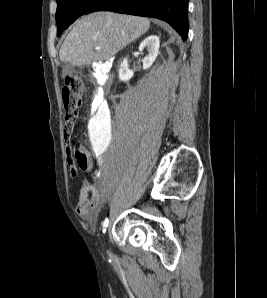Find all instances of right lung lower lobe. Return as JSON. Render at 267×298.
Listing matches in <instances>:
<instances>
[{
  "label": "right lung lower lobe",
  "instance_id": "right-lung-lower-lobe-1",
  "mask_svg": "<svg viewBox=\"0 0 267 298\" xmlns=\"http://www.w3.org/2000/svg\"><path fill=\"white\" fill-rule=\"evenodd\" d=\"M187 10L188 0H99L91 12L113 11L161 19L185 41L188 33Z\"/></svg>",
  "mask_w": 267,
  "mask_h": 298
}]
</instances>
